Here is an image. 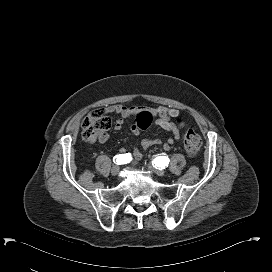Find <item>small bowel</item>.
I'll return each mask as SVG.
<instances>
[{
	"label": "small bowel",
	"instance_id": "c3829d8e",
	"mask_svg": "<svg viewBox=\"0 0 272 272\" xmlns=\"http://www.w3.org/2000/svg\"><path fill=\"white\" fill-rule=\"evenodd\" d=\"M141 109L143 108L137 106L128 107L122 104H115L107 107L106 112L118 116V119L115 121L114 128L115 130L119 131L123 128L125 122ZM146 110L154 118V123L157 126L171 132L173 134V137L169 138L165 142H162L160 139L151 138L143 139L140 143L141 149L146 150L154 145H162L164 150H168L170 146L174 144L176 141H178L180 138V130L182 128V125L175 124L172 121V118L177 117L180 114V111L165 106L146 108ZM149 124L150 122H148L145 125L136 123L134 126H132V131L135 134H139L140 131L146 129L149 126ZM108 139L109 134L107 132H102L98 136V140L101 143L106 142ZM120 152L121 153L127 152V148L121 147ZM141 157H142L141 151L137 147H134L135 161L136 162L139 161Z\"/></svg>",
	"mask_w": 272,
	"mask_h": 272
}]
</instances>
